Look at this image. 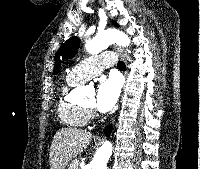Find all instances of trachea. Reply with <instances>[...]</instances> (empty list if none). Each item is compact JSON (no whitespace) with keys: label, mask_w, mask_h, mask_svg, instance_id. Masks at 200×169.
Listing matches in <instances>:
<instances>
[{"label":"trachea","mask_w":200,"mask_h":169,"mask_svg":"<svg viewBox=\"0 0 200 169\" xmlns=\"http://www.w3.org/2000/svg\"><path fill=\"white\" fill-rule=\"evenodd\" d=\"M118 68L122 71H125L126 70V65L123 61H118V64H117Z\"/></svg>","instance_id":"3493384b"}]
</instances>
